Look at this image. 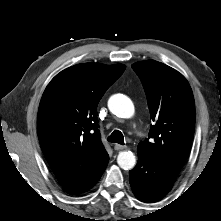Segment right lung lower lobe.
<instances>
[{"label":"right lung lower lobe","instance_id":"1","mask_svg":"<svg viewBox=\"0 0 221 221\" xmlns=\"http://www.w3.org/2000/svg\"><path fill=\"white\" fill-rule=\"evenodd\" d=\"M102 175V174H101ZM101 175L97 178V179H95L91 184H89L88 186H86V187H84V188H82V189H80V190H78V191H75V193H82V192H85V191H87V190H89L91 187H93L94 186V184L99 180V178L101 177Z\"/></svg>","mask_w":221,"mask_h":221}]
</instances>
